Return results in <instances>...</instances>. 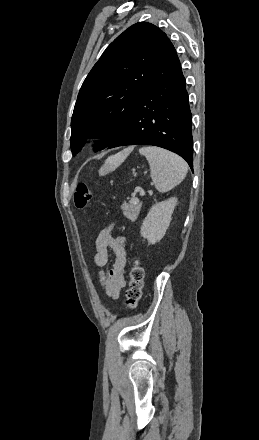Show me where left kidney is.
I'll return each instance as SVG.
<instances>
[{
  "label": "left kidney",
  "instance_id": "left-kidney-1",
  "mask_svg": "<svg viewBox=\"0 0 259 440\" xmlns=\"http://www.w3.org/2000/svg\"><path fill=\"white\" fill-rule=\"evenodd\" d=\"M177 204V198L154 204L149 210L141 227V236L148 240L149 244L159 242L165 235Z\"/></svg>",
  "mask_w": 259,
  "mask_h": 440
}]
</instances>
